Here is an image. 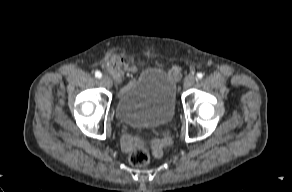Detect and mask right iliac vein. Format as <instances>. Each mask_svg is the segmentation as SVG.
Segmentation results:
<instances>
[{
  "label": "right iliac vein",
  "mask_w": 292,
  "mask_h": 192,
  "mask_svg": "<svg viewBox=\"0 0 292 192\" xmlns=\"http://www.w3.org/2000/svg\"><path fill=\"white\" fill-rule=\"evenodd\" d=\"M101 82H102V84H103L105 87H107V88H111V86H112V81H111V79H110L108 76H106V75H104V76L102 77Z\"/></svg>",
  "instance_id": "obj_1"
}]
</instances>
